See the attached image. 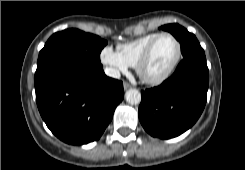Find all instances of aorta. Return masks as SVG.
<instances>
[{
    "mask_svg": "<svg viewBox=\"0 0 245 170\" xmlns=\"http://www.w3.org/2000/svg\"><path fill=\"white\" fill-rule=\"evenodd\" d=\"M125 99L129 104L136 105L139 104L141 101V94L136 89H129L125 93Z\"/></svg>",
    "mask_w": 245,
    "mask_h": 170,
    "instance_id": "aorta-1",
    "label": "aorta"
}]
</instances>
